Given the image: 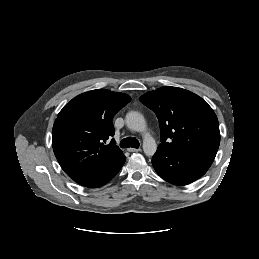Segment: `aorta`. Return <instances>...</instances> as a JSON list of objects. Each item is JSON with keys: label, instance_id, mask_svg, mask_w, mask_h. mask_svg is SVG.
<instances>
[{"label": "aorta", "instance_id": "obj_1", "mask_svg": "<svg viewBox=\"0 0 259 259\" xmlns=\"http://www.w3.org/2000/svg\"><path fill=\"white\" fill-rule=\"evenodd\" d=\"M126 125L129 129L143 134V150L148 156H152L157 149L155 139L147 132V125L143 115L136 111H131L126 114Z\"/></svg>", "mask_w": 259, "mask_h": 259}]
</instances>
